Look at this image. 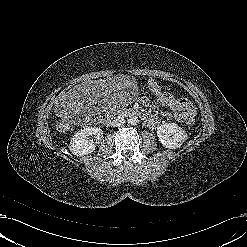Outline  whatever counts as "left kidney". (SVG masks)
Instances as JSON below:
<instances>
[{
  "mask_svg": "<svg viewBox=\"0 0 247 247\" xmlns=\"http://www.w3.org/2000/svg\"><path fill=\"white\" fill-rule=\"evenodd\" d=\"M157 136L162 145L169 149H176L187 140L186 131L176 123H164L159 126Z\"/></svg>",
  "mask_w": 247,
  "mask_h": 247,
  "instance_id": "left-kidney-1",
  "label": "left kidney"
}]
</instances>
